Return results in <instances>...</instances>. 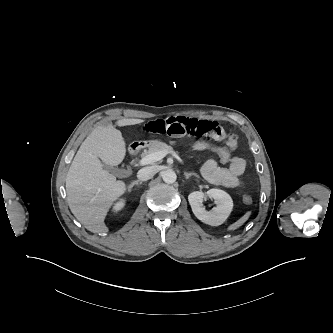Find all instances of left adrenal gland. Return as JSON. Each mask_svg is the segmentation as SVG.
<instances>
[{"mask_svg":"<svg viewBox=\"0 0 333 333\" xmlns=\"http://www.w3.org/2000/svg\"><path fill=\"white\" fill-rule=\"evenodd\" d=\"M184 175H185L186 179H189L191 176H195L197 178H200V176L198 174L192 173V172L191 173H185Z\"/></svg>","mask_w":333,"mask_h":333,"instance_id":"left-adrenal-gland-1","label":"left adrenal gland"}]
</instances>
